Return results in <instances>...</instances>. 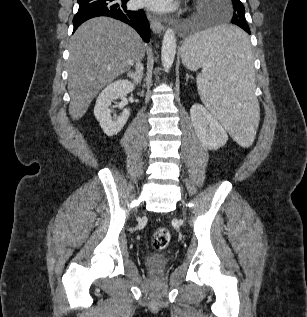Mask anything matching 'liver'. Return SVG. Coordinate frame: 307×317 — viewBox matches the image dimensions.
<instances>
[{"label": "liver", "instance_id": "1", "mask_svg": "<svg viewBox=\"0 0 307 317\" xmlns=\"http://www.w3.org/2000/svg\"><path fill=\"white\" fill-rule=\"evenodd\" d=\"M144 53L141 37L121 21L96 17L71 37L68 59L69 114L81 118L98 92Z\"/></svg>", "mask_w": 307, "mask_h": 317}]
</instances>
